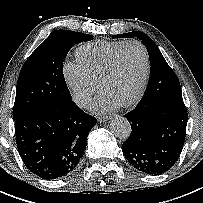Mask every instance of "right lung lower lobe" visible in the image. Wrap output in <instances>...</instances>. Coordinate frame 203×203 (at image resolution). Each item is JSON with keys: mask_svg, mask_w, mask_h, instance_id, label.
<instances>
[{"mask_svg": "<svg viewBox=\"0 0 203 203\" xmlns=\"http://www.w3.org/2000/svg\"><path fill=\"white\" fill-rule=\"evenodd\" d=\"M96 122L72 100L16 119V144L25 166L46 180L66 176L84 155L87 136Z\"/></svg>", "mask_w": 203, "mask_h": 203, "instance_id": "obj_1", "label": "right lung lower lobe"}]
</instances>
